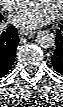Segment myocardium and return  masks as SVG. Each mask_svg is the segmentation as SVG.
<instances>
[{"label": "myocardium", "instance_id": "1", "mask_svg": "<svg viewBox=\"0 0 63 107\" xmlns=\"http://www.w3.org/2000/svg\"><path fill=\"white\" fill-rule=\"evenodd\" d=\"M62 9H63V1H60V6L58 11L53 15L54 18H58L62 14Z\"/></svg>", "mask_w": 63, "mask_h": 107}]
</instances>
